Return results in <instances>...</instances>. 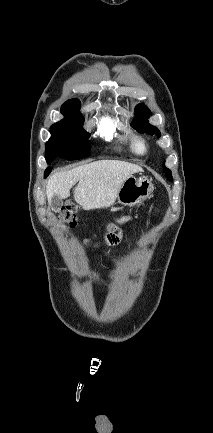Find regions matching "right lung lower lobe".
Listing matches in <instances>:
<instances>
[{"instance_id":"right-lung-lower-lobe-1","label":"right lung lower lobe","mask_w":213,"mask_h":433,"mask_svg":"<svg viewBox=\"0 0 213 433\" xmlns=\"http://www.w3.org/2000/svg\"><path fill=\"white\" fill-rule=\"evenodd\" d=\"M49 165H51L52 163H48ZM51 168H47L45 173H44V177H47V175L50 173Z\"/></svg>"}]
</instances>
